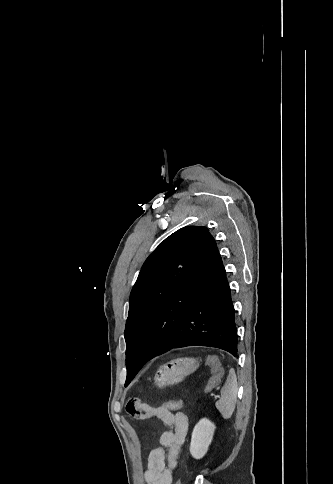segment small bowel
<instances>
[{
    "instance_id": "small-bowel-1",
    "label": "small bowel",
    "mask_w": 333,
    "mask_h": 484,
    "mask_svg": "<svg viewBox=\"0 0 333 484\" xmlns=\"http://www.w3.org/2000/svg\"><path fill=\"white\" fill-rule=\"evenodd\" d=\"M126 410L138 419L156 417L168 427L159 437V447L148 456L144 479L146 484H171L189 429L187 415L181 411H164L136 398L128 401Z\"/></svg>"
}]
</instances>
